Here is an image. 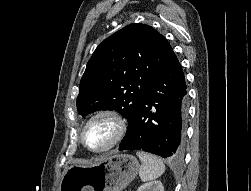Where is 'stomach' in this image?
<instances>
[{
    "mask_svg": "<svg viewBox=\"0 0 251 191\" xmlns=\"http://www.w3.org/2000/svg\"><path fill=\"white\" fill-rule=\"evenodd\" d=\"M138 171L139 163L134 155L115 151L94 163L69 165L59 191H122Z\"/></svg>",
    "mask_w": 251,
    "mask_h": 191,
    "instance_id": "stomach-1",
    "label": "stomach"
}]
</instances>
